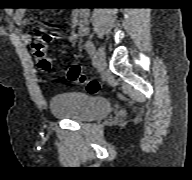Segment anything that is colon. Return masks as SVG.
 Masks as SVG:
<instances>
[{
    "label": "colon",
    "instance_id": "5ec220e1",
    "mask_svg": "<svg viewBox=\"0 0 192 180\" xmlns=\"http://www.w3.org/2000/svg\"><path fill=\"white\" fill-rule=\"evenodd\" d=\"M57 38L55 33H48L38 36L33 42L32 49L37 60V66L41 71L47 72L51 68V61L47 57L48 43ZM66 79L71 83H81L86 86L90 94L99 91L100 85L94 79H88L81 71L78 65H72L66 70Z\"/></svg>",
    "mask_w": 192,
    "mask_h": 180
}]
</instances>
